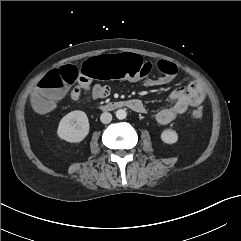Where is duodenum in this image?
Returning a JSON list of instances; mask_svg holds the SVG:
<instances>
[{
	"label": "duodenum",
	"mask_w": 241,
	"mask_h": 241,
	"mask_svg": "<svg viewBox=\"0 0 241 241\" xmlns=\"http://www.w3.org/2000/svg\"><path fill=\"white\" fill-rule=\"evenodd\" d=\"M123 107H131L127 101H112L101 105L99 108L103 111H112Z\"/></svg>",
	"instance_id": "1"
}]
</instances>
